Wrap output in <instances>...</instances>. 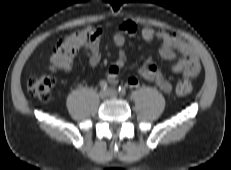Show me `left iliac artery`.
<instances>
[{"instance_id":"44dca946","label":"left iliac artery","mask_w":231,"mask_h":170,"mask_svg":"<svg viewBox=\"0 0 231 170\" xmlns=\"http://www.w3.org/2000/svg\"><path fill=\"white\" fill-rule=\"evenodd\" d=\"M118 91L121 95H125L126 94V88L123 86H119Z\"/></svg>"}]
</instances>
